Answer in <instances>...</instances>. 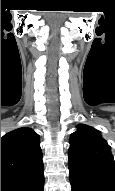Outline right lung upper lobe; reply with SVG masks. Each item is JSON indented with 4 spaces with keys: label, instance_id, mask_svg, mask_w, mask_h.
Listing matches in <instances>:
<instances>
[{
    "label": "right lung upper lobe",
    "instance_id": "cb5924a9",
    "mask_svg": "<svg viewBox=\"0 0 115 191\" xmlns=\"http://www.w3.org/2000/svg\"><path fill=\"white\" fill-rule=\"evenodd\" d=\"M43 169L39 135L23 127L5 134L1 139V178L22 177Z\"/></svg>",
    "mask_w": 115,
    "mask_h": 191
}]
</instances>
